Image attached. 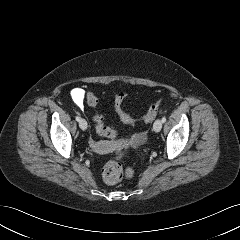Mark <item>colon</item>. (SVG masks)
I'll return each mask as SVG.
<instances>
[{
  "label": "colon",
  "mask_w": 240,
  "mask_h": 240,
  "mask_svg": "<svg viewBox=\"0 0 240 240\" xmlns=\"http://www.w3.org/2000/svg\"><path fill=\"white\" fill-rule=\"evenodd\" d=\"M126 97L127 93L125 91H119L115 95L114 106L121 120L127 124L135 125L138 121L142 123H148L152 121L159 113L161 100H158L151 104L147 113L143 115L139 120H136L123 110V102ZM86 101L87 104L91 107L95 108L98 105V98L93 92L86 93ZM93 120L100 135L108 138L116 137V131L112 127L104 124L103 116L100 113H96ZM125 152L126 143L124 141H119L117 144L116 158L107 162L102 169V178L107 184L113 185L120 182L124 177L130 178L132 176V169L124 168L121 163V159L124 157Z\"/></svg>",
  "instance_id": "5ec220e1"
}]
</instances>
